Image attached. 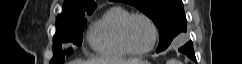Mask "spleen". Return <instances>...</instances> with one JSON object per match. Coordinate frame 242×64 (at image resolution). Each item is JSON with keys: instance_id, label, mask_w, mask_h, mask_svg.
Instances as JSON below:
<instances>
[{"instance_id": "obj_1", "label": "spleen", "mask_w": 242, "mask_h": 64, "mask_svg": "<svg viewBox=\"0 0 242 64\" xmlns=\"http://www.w3.org/2000/svg\"><path fill=\"white\" fill-rule=\"evenodd\" d=\"M168 64H180V62L177 60H170Z\"/></svg>"}]
</instances>
